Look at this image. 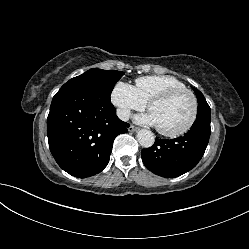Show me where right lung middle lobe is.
<instances>
[{
	"mask_svg": "<svg viewBox=\"0 0 249 249\" xmlns=\"http://www.w3.org/2000/svg\"><path fill=\"white\" fill-rule=\"evenodd\" d=\"M124 75L121 71L90 69L80 76L66 82L64 87H80L95 93L98 97L110 101V95L116 82Z\"/></svg>",
	"mask_w": 249,
	"mask_h": 249,
	"instance_id": "dd1d6c3e",
	"label": "right lung middle lobe"
}]
</instances>
